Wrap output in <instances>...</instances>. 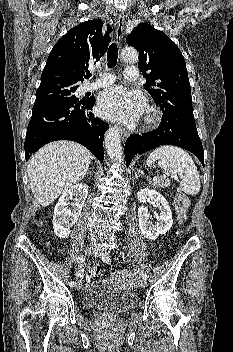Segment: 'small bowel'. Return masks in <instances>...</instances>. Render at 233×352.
Masks as SVG:
<instances>
[{"instance_id": "1", "label": "small bowel", "mask_w": 233, "mask_h": 352, "mask_svg": "<svg viewBox=\"0 0 233 352\" xmlns=\"http://www.w3.org/2000/svg\"><path fill=\"white\" fill-rule=\"evenodd\" d=\"M76 277L80 282H83V278H84V270L83 267L80 266L77 273H76Z\"/></svg>"}]
</instances>
